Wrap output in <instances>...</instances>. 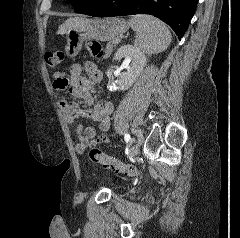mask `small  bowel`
Returning a JSON list of instances; mask_svg holds the SVG:
<instances>
[{"label":"small bowel","instance_id":"c3829d8e","mask_svg":"<svg viewBox=\"0 0 240 238\" xmlns=\"http://www.w3.org/2000/svg\"><path fill=\"white\" fill-rule=\"evenodd\" d=\"M83 71L87 73L88 77L83 75ZM102 78V72L92 62H85L83 65L73 64L69 76L65 72H56L53 75L52 87L55 91L69 88L73 97L82 99L87 106L91 107L84 109L77 102L67 99L59 102L69 128L77 134L78 142L75 145V151L78 154L84 153L89 146H96L108 141L105 133L110 127L113 104L104 100L95 101L91 95L93 85L100 83ZM79 117L97 122L100 133L97 134L93 125L77 124L76 120Z\"/></svg>","mask_w":240,"mask_h":238}]
</instances>
